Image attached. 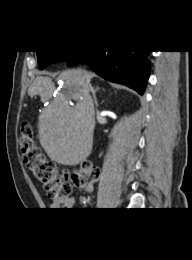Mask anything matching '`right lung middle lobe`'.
I'll use <instances>...</instances> for the list:
<instances>
[{
	"mask_svg": "<svg viewBox=\"0 0 192 260\" xmlns=\"http://www.w3.org/2000/svg\"><path fill=\"white\" fill-rule=\"evenodd\" d=\"M74 51H37L39 68L42 70L54 62L66 61Z\"/></svg>",
	"mask_w": 192,
	"mask_h": 260,
	"instance_id": "dd1d6c3e",
	"label": "right lung middle lobe"
}]
</instances>
